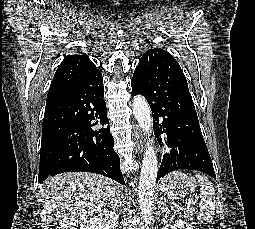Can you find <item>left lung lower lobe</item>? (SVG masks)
I'll return each instance as SVG.
<instances>
[{
	"label": "left lung lower lobe",
	"instance_id": "1",
	"mask_svg": "<svg viewBox=\"0 0 255 229\" xmlns=\"http://www.w3.org/2000/svg\"><path fill=\"white\" fill-rule=\"evenodd\" d=\"M131 85L133 95H143L150 104L159 143L164 140L171 147L163 156L157 181L178 169L202 171L216 179L187 80L174 57L162 49L145 53Z\"/></svg>",
	"mask_w": 255,
	"mask_h": 229
}]
</instances>
